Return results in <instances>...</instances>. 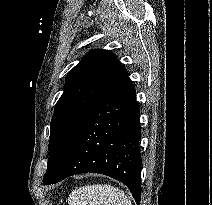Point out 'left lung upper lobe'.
Listing matches in <instances>:
<instances>
[{"instance_id": "1", "label": "left lung upper lobe", "mask_w": 212, "mask_h": 205, "mask_svg": "<svg viewBox=\"0 0 212 205\" xmlns=\"http://www.w3.org/2000/svg\"><path fill=\"white\" fill-rule=\"evenodd\" d=\"M121 64L108 50H92L68 73L50 123L46 185L58 176L86 116L107 90Z\"/></svg>"}]
</instances>
